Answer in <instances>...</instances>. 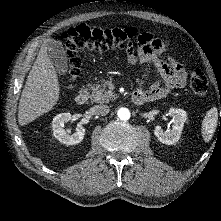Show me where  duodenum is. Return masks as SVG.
Segmentation results:
<instances>
[{
  "mask_svg": "<svg viewBox=\"0 0 221 221\" xmlns=\"http://www.w3.org/2000/svg\"><path fill=\"white\" fill-rule=\"evenodd\" d=\"M131 99L135 104H143L144 102L148 101L145 95L138 91H135L132 94ZM87 100L88 94L84 90L80 91L75 97V101L78 105H84L87 102Z\"/></svg>",
  "mask_w": 221,
  "mask_h": 221,
  "instance_id": "duodenum-1",
  "label": "duodenum"
}]
</instances>
